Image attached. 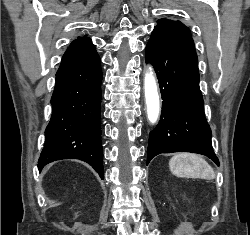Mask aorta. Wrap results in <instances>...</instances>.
Returning <instances> with one entry per match:
<instances>
[{
    "label": "aorta",
    "mask_w": 250,
    "mask_h": 235,
    "mask_svg": "<svg viewBox=\"0 0 250 235\" xmlns=\"http://www.w3.org/2000/svg\"><path fill=\"white\" fill-rule=\"evenodd\" d=\"M147 116L151 123H155L160 112L159 95L155 77L151 71L146 72L144 79Z\"/></svg>",
    "instance_id": "obj_1"
}]
</instances>
